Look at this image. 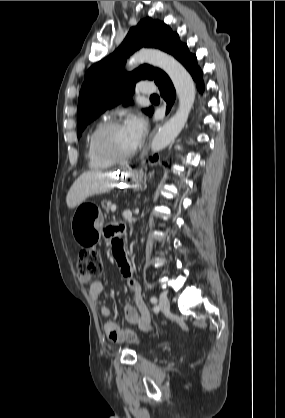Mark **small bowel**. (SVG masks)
<instances>
[{"mask_svg":"<svg viewBox=\"0 0 285 418\" xmlns=\"http://www.w3.org/2000/svg\"><path fill=\"white\" fill-rule=\"evenodd\" d=\"M122 228L118 227H110L105 230V236L108 239L112 249L115 247L117 241L119 240L120 233ZM121 275L126 279L127 289L130 295L133 298L135 306L132 305H125L122 310L123 317L130 323L139 326L140 329L143 331H150L151 330V317L149 310L142 298L140 285L137 279L134 277L133 273V264L132 262L126 258L122 262H117ZM78 280L81 283L89 282V279L86 277H78ZM104 289V284L101 281H94L90 285L89 295L93 302H99L102 297ZM100 313L102 316L108 318L111 317L113 312L112 309L107 306L100 307ZM116 329L119 328L117 324H112ZM108 325H105V332L107 338L112 343H120L124 340V336L121 335L119 332L113 334L111 331L107 329Z\"/></svg>","mask_w":285,"mask_h":418,"instance_id":"obj_1","label":"small bowel"}]
</instances>
